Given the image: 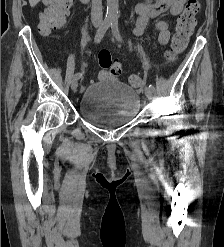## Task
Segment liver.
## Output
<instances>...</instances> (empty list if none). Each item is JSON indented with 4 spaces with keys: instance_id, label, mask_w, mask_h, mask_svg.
<instances>
[{
    "instance_id": "liver-1",
    "label": "liver",
    "mask_w": 224,
    "mask_h": 247,
    "mask_svg": "<svg viewBox=\"0 0 224 247\" xmlns=\"http://www.w3.org/2000/svg\"><path fill=\"white\" fill-rule=\"evenodd\" d=\"M38 2H40V0H29V4H30L31 8H34V6H36V4H38Z\"/></svg>"
}]
</instances>
